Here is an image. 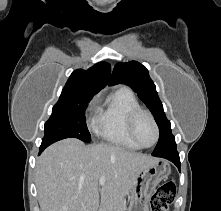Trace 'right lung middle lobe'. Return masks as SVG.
<instances>
[{
  "mask_svg": "<svg viewBox=\"0 0 221 211\" xmlns=\"http://www.w3.org/2000/svg\"><path fill=\"white\" fill-rule=\"evenodd\" d=\"M93 96L85 95L59 100L53 106L52 114L45 123L42 145H50L70 137L90 142L91 135L85 122V109Z\"/></svg>",
  "mask_w": 221,
  "mask_h": 211,
  "instance_id": "obj_1",
  "label": "right lung middle lobe"
}]
</instances>
